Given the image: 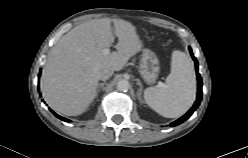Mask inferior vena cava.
I'll return each mask as SVG.
<instances>
[{
    "label": "inferior vena cava",
    "mask_w": 248,
    "mask_h": 158,
    "mask_svg": "<svg viewBox=\"0 0 248 158\" xmlns=\"http://www.w3.org/2000/svg\"><path fill=\"white\" fill-rule=\"evenodd\" d=\"M113 72L114 70L112 68H105L100 72L99 79L105 81L112 76Z\"/></svg>",
    "instance_id": "obj_1"
}]
</instances>
